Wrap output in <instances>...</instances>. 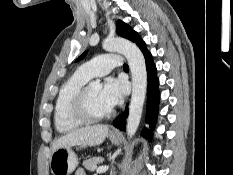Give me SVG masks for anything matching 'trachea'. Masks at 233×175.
Returning a JSON list of instances; mask_svg holds the SVG:
<instances>
[{"label":"trachea","mask_w":233,"mask_h":175,"mask_svg":"<svg viewBox=\"0 0 233 175\" xmlns=\"http://www.w3.org/2000/svg\"><path fill=\"white\" fill-rule=\"evenodd\" d=\"M123 69H129V66L127 64H124Z\"/></svg>","instance_id":"obj_1"}]
</instances>
